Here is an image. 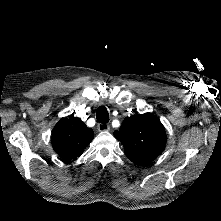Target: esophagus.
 Listing matches in <instances>:
<instances>
[{
  "label": "esophagus",
  "mask_w": 221,
  "mask_h": 221,
  "mask_svg": "<svg viewBox=\"0 0 221 221\" xmlns=\"http://www.w3.org/2000/svg\"><path fill=\"white\" fill-rule=\"evenodd\" d=\"M97 129L99 132H106L110 130V126L107 123H99Z\"/></svg>",
  "instance_id": "esophagus-1"
}]
</instances>
